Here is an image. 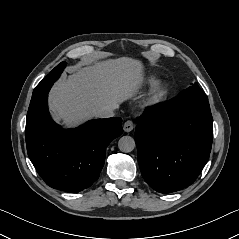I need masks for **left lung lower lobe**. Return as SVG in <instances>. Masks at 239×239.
<instances>
[{"mask_svg":"<svg viewBox=\"0 0 239 239\" xmlns=\"http://www.w3.org/2000/svg\"><path fill=\"white\" fill-rule=\"evenodd\" d=\"M212 138L206 95L185 94L147 108L135 131L145 182L160 193L191 185L209 158Z\"/></svg>","mask_w":239,"mask_h":239,"instance_id":"0a47b994","label":"left lung lower lobe"}]
</instances>
